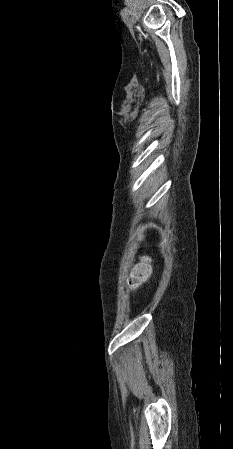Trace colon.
Returning a JSON list of instances; mask_svg holds the SVG:
<instances>
[{"instance_id":"5ec220e1","label":"colon","mask_w":233,"mask_h":449,"mask_svg":"<svg viewBox=\"0 0 233 449\" xmlns=\"http://www.w3.org/2000/svg\"><path fill=\"white\" fill-rule=\"evenodd\" d=\"M150 273V267L147 263H143L138 266L133 274V278L137 283H142L146 280Z\"/></svg>"}]
</instances>
